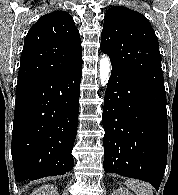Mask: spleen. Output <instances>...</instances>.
I'll use <instances>...</instances> for the list:
<instances>
[{
	"instance_id": "3e777b00",
	"label": "spleen",
	"mask_w": 178,
	"mask_h": 195,
	"mask_svg": "<svg viewBox=\"0 0 178 195\" xmlns=\"http://www.w3.org/2000/svg\"><path fill=\"white\" fill-rule=\"evenodd\" d=\"M126 186L133 190L136 195H153L151 186L148 183L137 180H127Z\"/></svg>"
}]
</instances>
